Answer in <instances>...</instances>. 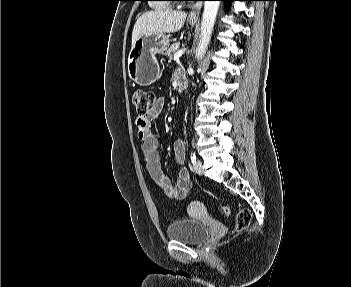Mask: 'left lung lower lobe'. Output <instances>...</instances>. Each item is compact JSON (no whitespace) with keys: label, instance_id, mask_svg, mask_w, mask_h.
Returning a JSON list of instances; mask_svg holds the SVG:
<instances>
[{"label":"left lung lower lobe","instance_id":"1","mask_svg":"<svg viewBox=\"0 0 351 287\" xmlns=\"http://www.w3.org/2000/svg\"><path fill=\"white\" fill-rule=\"evenodd\" d=\"M201 1H205V0H201ZM220 1L231 2V1H237V0H220Z\"/></svg>","mask_w":351,"mask_h":287}]
</instances>
